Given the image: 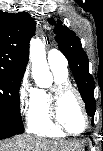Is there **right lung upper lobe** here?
<instances>
[{
	"label": "right lung upper lobe",
	"instance_id": "obj_1",
	"mask_svg": "<svg viewBox=\"0 0 103 151\" xmlns=\"http://www.w3.org/2000/svg\"><path fill=\"white\" fill-rule=\"evenodd\" d=\"M35 22L27 12L0 11V68L24 74L29 59V41Z\"/></svg>",
	"mask_w": 103,
	"mask_h": 151
}]
</instances>
